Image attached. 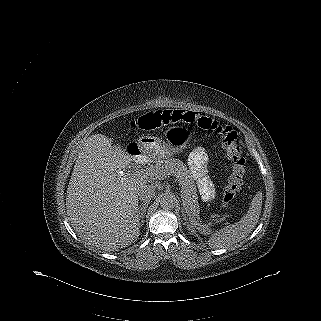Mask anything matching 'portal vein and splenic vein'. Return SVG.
I'll return each instance as SVG.
<instances>
[{
	"mask_svg": "<svg viewBox=\"0 0 321 321\" xmlns=\"http://www.w3.org/2000/svg\"><path fill=\"white\" fill-rule=\"evenodd\" d=\"M134 176L142 177V178H155V179H163L165 177L164 174L161 172L155 170V169H148V170H142L137 171L134 173Z\"/></svg>",
	"mask_w": 321,
	"mask_h": 321,
	"instance_id": "portal-vein-and-splenic-vein-1",
	"label": "portal vein and splenic vein"
}]
</instances>
